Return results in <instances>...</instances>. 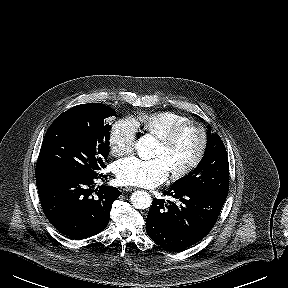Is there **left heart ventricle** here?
I'll return each mask as SVG.
<instances>
[{"label":"left heart ventricle","mask_w":288,"mask_h":288,"mask_svg":"<svg viewBox=\"0 0 288 288\" xmlns=\"http://www.w3.org/2000/svg\"><path fill=\"white\" fill-rule=\"evenodd\" d=\"M199 144V132L194 127H189L169 146H165L158 141L154 156L163 158L170 172L175 171L194 158Z\"/></svg>","instance_id":"obj_1"}]
</instances>
